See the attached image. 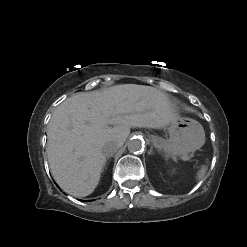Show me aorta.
Masks as SVG:
<instances>
[{
  "mask_svg": "<svg viewBox=\"0 0 247 247\" xmlns=\"http://www.w3.org/2000/svg\"><path fill=\"white\" fill-rule=\"evenodd\" d=\"M144 140L140 137H133L128 142V150L131 153H138L144 149Z\"/></svg>",
  "mask_w": 247,
  "mask_h": 247,
  "instance_id": "obj_1",
  "label": "aorta"
}]
</instances>
